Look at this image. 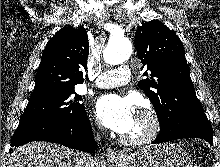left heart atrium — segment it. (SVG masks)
<instances>
[{"mask_svg": "<svg viewBox=\"0 0 220 167\" xmlns=\"http://www.w3.org/2000/svg\"><path fill=\"white\" fill-rule=\"evenodd\" d=\"M93 108L103 125L120 134L130 130L136 116L134 101L117 94L110 93L97 97Z\"/></svg>", "mask_w": 220, "mask_h": 167, "instance_id": "obj_1", "label": "left heart atrium"}]
</instances>
